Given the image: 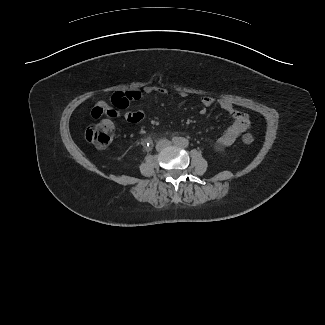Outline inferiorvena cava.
<instances>
[{"instance_id": "inferior-vena-cava-1", "label": "inferior vena cava", "mask_w": 325, "mask_h": 325, "mask_svg": "<svg viewBox=\"0 0 325 325\" xmlns=\"http://www.w3.org/2000/svg\"><path fill=\"white\" fill-rule=\"evenodd\" d=\"M169 145H170V141H168L166 139L165 140H160L156 145V149H157V151H161V150H163L164 148H166Z\"/></svg>"}]
</instances>
